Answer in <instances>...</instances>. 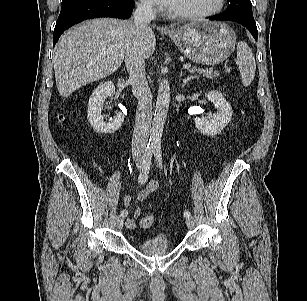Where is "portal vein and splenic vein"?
Wrapping results in <instances>:
<instances>
[{"mask_svg": "<svg viewBox=\"0 0 307 301\" xmlns=\"http://www.w3.org/2000/svg\"><path fill=\"white\" fill-rule=\"evenodd\" d=\"M191 68V65L190 64H184L183 65V69H190ZM227 72H232V70H227Z\"/></svg>", "mask_w": 307, "mask_h": 301, "instance_id": "1", "label": "portal vein and splenic vein"}]
</instances>
